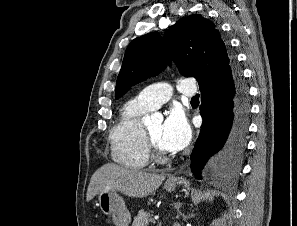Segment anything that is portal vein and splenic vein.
<instances>
[{
    "mask_svg": "<svg viewBox=\"0 0 297 226\" xmlns=\"http://www.w3.org/2000/svg\"><path fill=\"white\" fill-rule=\"evenodd\" d=\"M158 219H159V217L158 216H155L154 219H153V221H156Z\"/></svg>",
    "mask_w": 297,
    "mask_h": 226,
    "instance_id": "portal-vein-and-splenic-vein-1",
    "label": "portal vein and splenic vein"
}]
</instances>
